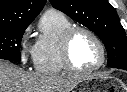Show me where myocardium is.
<instances>
[{
    "label": "myocardium",
    "instance_id": "obj_1",
    "mask_svg": "<svg viewBox=\"0 0 127 92\" xmlns=\"http://www.w3.org/2000/svg\"><path fill=\"white\" fill-rule=\"evenodd\" d=\"M86 33L89 36H91L93 38V40L96 42L99 51H100V61L97 65H95L92 68H88V69H80L78 67H76L72 61L71 58V45H72V41L75 38V36L78 33ZM61 59L63 62V65L65 66V68L72 72V73H76V74H88V73H92L95 72L97 70H99L106 61V49L105 46L102 42V40L100 39V37L97 35L96 32H94L92 29L85 27V26H72L70 27L63 35L62 40H61Z\"/></svg>",
    "mask_w": 127,
    "mask_h": 92
}]
</instances>
